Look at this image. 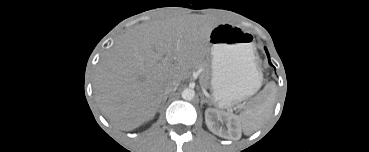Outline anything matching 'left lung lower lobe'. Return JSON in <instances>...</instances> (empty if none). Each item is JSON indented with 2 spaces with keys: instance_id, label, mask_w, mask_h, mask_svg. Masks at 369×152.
<instances>
[{
  "instance_id": "left-lung-lower-lobe-1",
  "label": "left lung lower lobe",
  "mask_w": 369,
  "mask_h": 152,
  "mask_svg": "<svg viewBox=\"0 0 369 152\" xmlns=\"http://www.w3.org/2000/svg\"><path fill=\"white\" fill-rule=\"evenodd\" d=\"M265 51H266L267 56H268V58H269V53H268V51H267V49H266V48H265ZM269 63H270V65H272V64H271V62H270V60H269Z\"/></svg>"
}]
</instances>
